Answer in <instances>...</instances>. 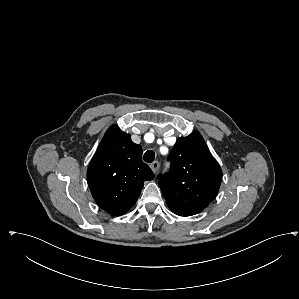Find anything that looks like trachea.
Segmentation results:
<instances>
[{
  "label": "trachea",
  "mask_w": 299,
  "mask_h": 299,
  "mask_svg": "<svg viewBox=\"0 0 299 299\" xmlns=\"http://www.w3.org/2000/svg\"><path fill=\"white\" fill-rule=\"evenodd\" d=\"M155 159V153L153 150H148L143 155V160L147 163H152Z\"/></svg>",
  "instance_id": "1"
}]
</instances>
